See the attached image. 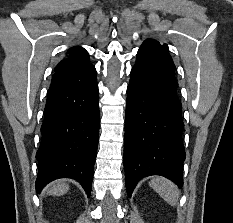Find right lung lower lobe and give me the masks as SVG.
<instances>
[{
	"label": "right lung lower lobe",
	"mask_w": 233,
	"mask_h": 223,
	"mask_svg": "<svg viewBox=\"0 0 233 223\" xmlns=\"http://www.w3.org/2000/svg\"><path fill=\"white\" fill-rule=\"evenodd\" d=\"M98 85L88 63L55 71L36 153L38 193L58 178L77 180L90 196L99 133Z\"/></svg>",
	"instance_id": "98d812e1"
}]
</instances>
